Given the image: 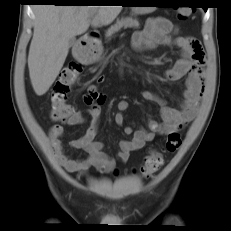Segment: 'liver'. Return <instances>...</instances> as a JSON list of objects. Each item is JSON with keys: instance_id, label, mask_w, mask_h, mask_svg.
<instances>
[{"instance_id": "6515ba94", "label": "liver", "mask_w": 231, "mask_h": 231, "mask_svg": "<svg viewBox=\"0 0 231 231\" xmlns=\"http://www.w3.org/2000/svg\"><path fill=\"white\" fill-rule=\"evenodd\" d=\"M122 6L37 5L33 8L34 33L28 55L29 75L38 96L45 94L59 75L69 52L70 40L85 33L89 17L93 26L108 25Z\"/></svg>"}]
</instances>
